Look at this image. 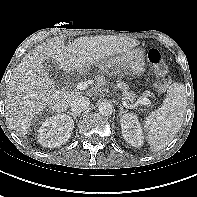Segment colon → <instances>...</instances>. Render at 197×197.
Masks as SVG:
<instances>
[{"label":"colon","mask_w":197,"mask_h":197,"mask_svg":"<svg viewBox=\"0 0 197 197\" xmlns=\"http://www.w3.org/2000/svg\"><path fill=\"white\" fill-rule=\"evenodd\" d=\"M148 61L154 68L156 75L158 76L157 88L160 91L165 90L170 83L168 76V65L164 59V56L158 49H150L148 52Z\"/></svg>","instance_id":"1"}]
</instances>
